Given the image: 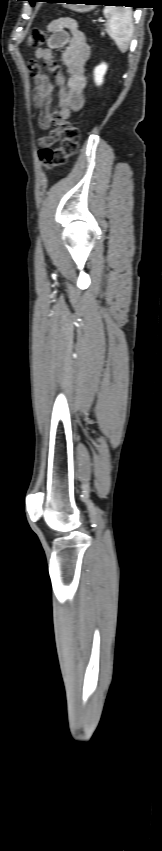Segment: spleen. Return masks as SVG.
<instances>
[{"label":"spleen","mask_w":162,"mask_h":851,"mask_svg":"<svg viewBox=\"0 0 162 851\" xmlns=\"http://www.w3.org/2000/svg\"><path fill=\"white\" fill-rule=\"evenodd\" d=\"M108 19L107 32L122 53L128 49L133 34L132 10L126 7H105L103 11Z\"/></svg>","instance_id":"obj_1"}]
</instances>
